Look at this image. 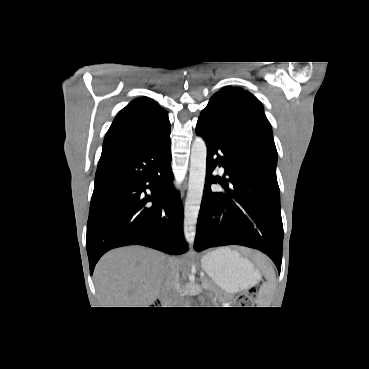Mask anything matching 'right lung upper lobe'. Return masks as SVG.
Listing matches in <instances>:
<instances>
[{
    "mask_svg": "<svg viewBox=\"0 0 369 369\" xmlns=\"http://www.w3.org/2000/svg\"><path fill=\"white\" fill-rule=\"evenodd\" d=\"M170 131L168 114L164 109L148 98L135 99L114 119L105 136L99 161L161 139Z\"/></svg>",
    "mask_w": 369,
    "mask_h": 369,
    "instance_id": "obj_1",
    "label": "right lung upper lobe"
}]
</instances>
